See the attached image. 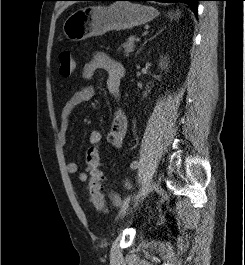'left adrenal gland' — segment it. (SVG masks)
<instances>
[{
	"label": "left adrenal gland",
	"mask_w": 245,
	"mask_h": 265,
	"mask_svg": "<svg viewBox=\"0 0 245 265\" xmlns=\"http://www.w3.org/2000/svg\"><path fill=\"white\" fill-rule=\"evenodd\" d=\"M163 31V29H161L158 33H156V35H154L151 39L155 38L159 33H161ZM147 41H145L144 44H146ZM139 53V52H138Z\"/></svg>",
	"instance_id": "obj_1"
}]
</instances>
